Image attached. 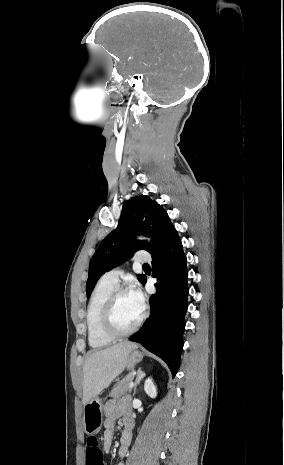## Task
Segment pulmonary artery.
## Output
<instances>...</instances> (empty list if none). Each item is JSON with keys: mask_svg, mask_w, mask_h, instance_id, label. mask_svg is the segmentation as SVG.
<instances>
[{"mask_svg": "<svg viewBox=\"0 0 284 465\" xmlns=\"http://www.w3.org/2000/svg\"><path fill=\"white\" fill-rule=\"evenodd\" d=\"M150 261V253L148 250H139L134 252V262L135 263H148ZM123 271L120 269H113L100 278L101 281L117 286L120 282V277L122 276Z\"/></svg>", "mask_w": 284, "mask_h": 465, "instance_id": "pulmonary-artery-1", "label": "pulmonary artery"}]
</instances>
